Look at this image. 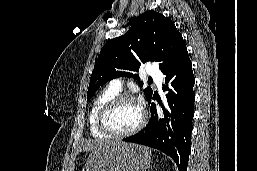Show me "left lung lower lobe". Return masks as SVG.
Instances as JSON below:
<instances>
[{
    "instance_id": "obj_1",
    "label": "left lung lower lobe",
    "mask_w": 257,
    "mask_h": 171,
    "mask_svg": "<svg viewBox=\"0 0 257 171\" xmlns=\"http://www.w3.org/2000/svg\"><path fill=\"white\" fill-rule=\"evenodd\" d=\"M160 70L166 75L163 90L168 91L167 103L161 105L163 113H157L150 98L151 118L148 125L123 141L156 148L170 156L179 171H187L193 129L195 78L186 46L174 52Z\"/></svg>"
}]
</instances>
